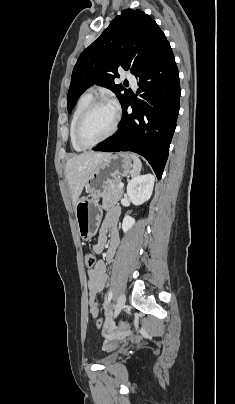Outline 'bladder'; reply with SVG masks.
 <instances>
[{
    "label": "bladder",
    "instance_id": "1",
    "mask_svg": "<svg viewBox=\"0 0 235 404\" xmlns=\"http://www.w3.org/2000/svg\"><path fill=\"white\" fill-rule=\"evenodd\" d=\"M116 358H117V356H116L115 353H110V354L104 356V357L101 359L100 362H101L103 365H110V364H112V363L116 360Z\"/></svg>",
    "mask_w": 235,
    "mask_h": 404
}]
</instances>
